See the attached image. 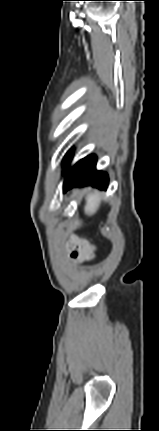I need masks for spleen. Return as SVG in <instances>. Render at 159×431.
I'll return each instance as SVG.
<instances>
[{
	"mask_svg": "<svg viewBox=\"0 0 159 431\" xmlns=\"http://www.w3.org/2000/svg\"><path fill=\"white\" fill-rule=\"evenodd\" d=\"M100 201L101 195L98 192L94 191L93 193H90L86 198V206L84 208L85 213L87 215L94 214L99 207Z\"/></svg>",
	"mask_w": 159,
	"mask_h": 431,
	"instance_id": "spleen-1",
	"label": "spleen"
}]
</instances>
